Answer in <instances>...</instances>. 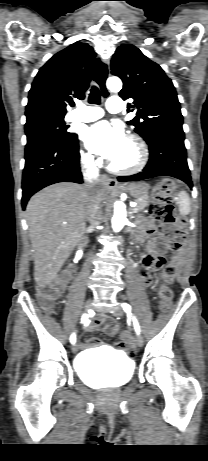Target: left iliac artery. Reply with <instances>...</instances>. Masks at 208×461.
<instances>
[{
  "instance_id": "left-iliac-artery-1",
  "label": "left iliac artery",
  "mask_w": 208,
  "mask_h": 461,
  "mask_svg": "<svg viewBox=\"0 0 208 461\" xmlns=\"http://www.w3.org/2000/svg\"><path fill=\"white\" fill-rule=\"evenodd\" d=\"M122 307H123V309H124L125 312H127V313H130V312H131V307H130L128 304L123 303V304H122ZM133 322H134L135 330H136L137 334H139L140 328H139V324H138V322H137V320H136L135 317H133Z\"/></svg>"
}]
</instances>
